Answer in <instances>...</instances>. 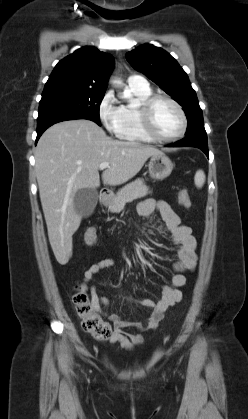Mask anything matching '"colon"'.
<instances>
[{
    "mask_svg": "<svg viewBox=\"0 0 248 419\" xmlns=\"http://www.w3.org/2000/svg\"><path fill=\"white\" fill-rule=\"evenodd\" d=\"M178 201L186 209L191 207V199L188 190L181 189L178 192ZM96 231L90 228L86 231L84 241L88 246H92L96 242ZM76 314L81 320L82 328L98 339H107L112 333L111 325L102 320L96 306L90 300L88 294L82 290L80 286H76L72 297Z\"/></svg>",
    "mask_w": 248,
    "mask_h": 419,
    "instance_id": "1",
    "label": "colon"
}]
</instances>
